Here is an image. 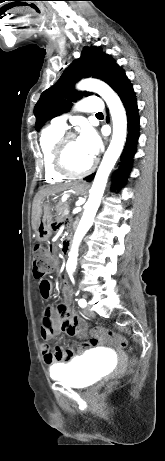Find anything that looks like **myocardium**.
<instances>
[{"label": "myocardium", "mask_w": 165, "mask_h": 461, "mask_svg": "<svg viewBox=\"0 0 165 461\" xmlns=\"http://www.w3.org/2000/svg\"><path fill=\"white\" fill-rule=\"evenodd\" d=\"M76 138V135L73 132H67L63 133L60 138L56 141L54 147H53V152H52V164L54 169L68 177H83L89 173H91L97 164V160L93 159L91 163L88 165L87 168L81 171H75L73 170L66 161V149H67V144L68 142Z\"/></svg>", "instance_id": "obj_1"}]
</instances>
